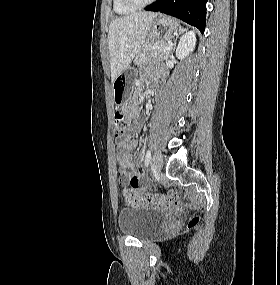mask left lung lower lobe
<instances>
[{"label":"left lung lower lobe","instance_id":"left-lung-lower-lobe-1","mask_svg":"<svg viewBox=\"0 0 280 285\" xmlns=\"http://www.w3.org/2000/svg\"><path fill=\"white\" fill-rule=\"evenodd\" d=\"M206 2L207 0H158L147 6L145 10L159 11L177 17L204 33Z\"/></svg>","mask_w":280,"mask_h":285}]
</instances>
